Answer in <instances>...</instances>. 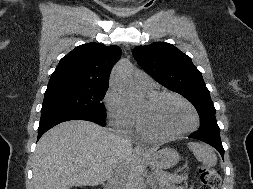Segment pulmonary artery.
Here are the masks:
<instances>
[{"instance_id": "1", "label": "pulmonary artery", "mask_w": 253, "mask_h": 189, "mask_svg": "<svg viewBox=\"0 0 253 189\" xmlns=\"http://www.w3.org/2000/svg\"><path fill=\"white\" fill-rule=\"evenodd\" d=\"M137 87L143 91L144 93L151 92L153 90V81L152 79L147 75H142L138 77L135 81Z\"/></svg>"}]
</instances>
